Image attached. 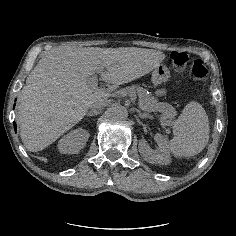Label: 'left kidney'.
<instances>
[{
  "label": "left kidney",
  "mask_w": 236,
  "mask_h": 236,
  "mask_svg": "<svg viewBox=\"0 0 236 236\" xmlns=\"http://www.w3.org/2000/svg\"><path fill=\"white\" fill-rule=\"evenodd\" d=\"M154 140L157 142L160 148V152L156 153L151 150L144 139H138V149L141 157L151 164L165 165L170 163L171 158L169 155V147L164 136L157 134L154 136Z\"/></svg>",
  "instance_id": "left-kidney-1"
}]
</instances>
